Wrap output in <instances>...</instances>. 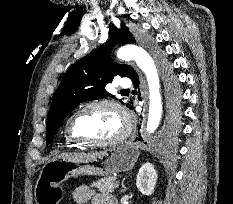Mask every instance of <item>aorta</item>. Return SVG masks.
<instances>
[{"label": "aorta", "instance_id": "762f6f07", "mask_svg": "<svg viewBox=\"0 0 233 204\" xmlns=\"http://www.w3.org/2000/svg\"><path fill=\"white\" fill-rule=\"evenodd\" d=\"M117 57L124 61L135 60L146 75L149 86V113L146 131L148 134H152L158 128L162 117L160 80L154 60L145 49L133 44L121 47L117 52Z\"/></svg>", "mask_w": 233, "mask_h": 204}]
</instances>
